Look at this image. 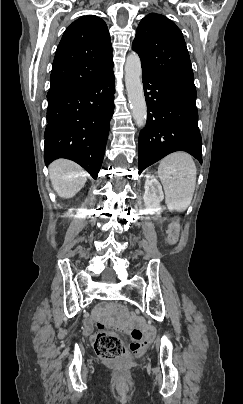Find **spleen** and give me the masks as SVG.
<instances>
[{"mask_svg": "<svg viewBox=\"0 0 243 404\" xmlns=\"http://www.w3.org/2000/svg\"><path fill=\"white\" fill-rule=\"evenodd\" d=\"M196 166L186 152H175L163 158L158 174L170 212H185L192 202L196 186Z\"/></svg>", "mask_w": 243, "mask_h": 404, "instance_id": "obj_1", "label": "spleen"}]
</instances>
